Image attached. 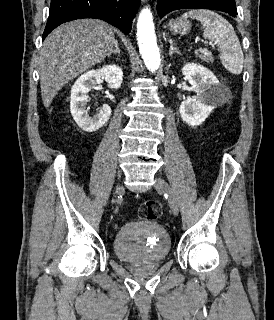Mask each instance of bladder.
Here are the masks:
<instances>
[{"mask_svg":"<svg viewBox=\"0 0 274 320\" xmlns=\"http://www.w3.org/2000/svg\"><path fill=\"white\" fill-rule=\"evenodd\" d=\"M168 233L151 221H131L123 224L113 239V250L118 259L129 264L163 261L170 252Z\"/></svg>","mask_w":274,"mask_h":320,"instance_id":"31cf9c89","label":"bladder"}]
</instances>
